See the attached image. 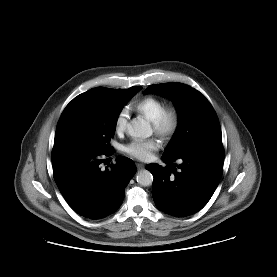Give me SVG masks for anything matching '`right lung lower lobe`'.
Instances as JSON below:
<instances>
[{"label":"right lung lower lobe","mask_w":277,"mask_h":277,"mask_svg":"<svg viewBox=\"0 0 277 277\" xmlns=\"http://www.w3.org/2000/svg\"><path fill=\"white\" fill-rule=\"evenodd\" d=\"M100 152L68 144H54L52 165L55 182L70 207L79 215L100 219L121 205L125 187L136 173L134 162L119 156L115 165L101 170Z\"/></svg>","instance_id":"1"}]
</instances>
